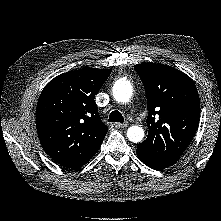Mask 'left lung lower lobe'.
Here are the masks:
<instances>
[{
  "instance_id": "0a47b994",
  "label": "left lung lower lobe",
  "mask_w": 221,
  "mask_h": 221,
  "mask_svg": "<svg viewBox=\"0 0 221 221\" xmlns=\"http://www.w3.org/2000/svg\"><path fill=\"white\" fill-rule=\"evenodd\" d=\"M137 154L139 158L143 161L144 164L147 166L157 169V170H162L165 168H168L169 166H172L174 163L166 162L160 159H157L145 151L141 150L140 148L137 147Z\"/></svg>"
}]
</instances>
